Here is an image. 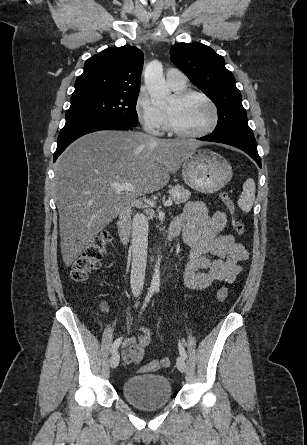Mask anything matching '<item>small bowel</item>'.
Wrapping results in <instances>:
<instances>
[{
  "label": "small bowel",
  "mask_w": 307,
  "mask_h": 445,
  "mask_svg": "<svg viewBox=\"0 0 307 445\" xmlns=\"http://www.w3.org/2000/svg\"><path fill=\"white\" fill-rule=\"evenodd\" d=\"M227 216L222 211L209 213L206 205L189 201L183 212L172 221V228L182 235L190 247L183 281L190 290L203 291L215 283H233L242 272L243 261L249 252L231 234H222ZM142 334L124 340L122 359L127 364H139L150 345L152 334L141 327Z\"/></svg>",
  "instance_id": "c3829d8e"
}]
</instances>
